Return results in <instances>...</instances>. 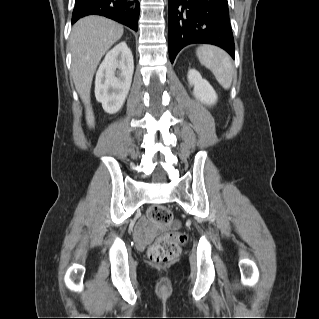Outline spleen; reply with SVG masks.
Instances as JSON below:
<instances>
[{
    "mask_svg": "<svg viewBox=\"0 0 319 319\" xmlns=\"http://www.w3.org/2000/svg\"><path fill=\"white\" fill-rule=\"evenodd\" d=\"M196 54L200 63L212 71L220 85L229 89L233 77L230 57L222 49L211 45L198 47Z\"/></svg>",
    "mask_w": 319,
    "mask_h": 319,
    "instance_id": "obj_1",
    "label": "spleen"
}]
</instances>
